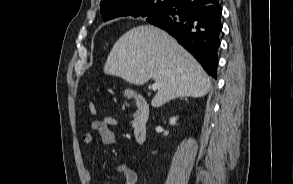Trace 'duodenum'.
<instances>
[{"label": "duodenum", "mask_w": 293, "mask_h": 184, "mask_svg": "<svg viewBox=\"0 0 293 184\" xmlns=\"http://www.w3.org/2000/svg\"><path fill=\"white\" fill-rule=\"evenodd\" d=\"M137 111L133 120V136L137 143L142 144L147 137V124L149 121V105L147 101L138 96L136 98Z\"/></svg>", "instance_id": "410a0bca"}]
</instances>
